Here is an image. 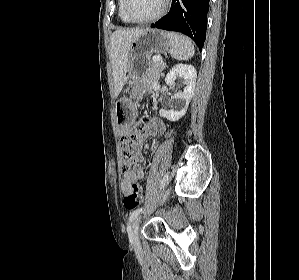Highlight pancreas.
I'll list each match as a JSON object with an SVG mask.
<instances>
[{"label":"pancreas","instance_id":"1","mask_svg":"<svg viewBox=\"0 0 299 280\" xmlns=\"http://www.w3.org/2000/svg\"><path fill=\"white\" fill-rule=\"evenodd\" d=\"M164 63L151 60L146 71V76L144 78V84L146 87H151L158 82L160 77V72L164 69Z\"/></svg>","mask_w":299,"mask_h":280}]
</instances>
